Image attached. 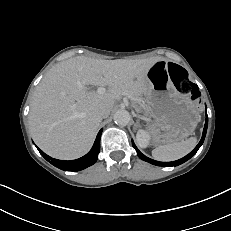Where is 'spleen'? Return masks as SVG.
<instances>
[{
    "label": "spleen",
    "instance_id": "3e777b00",
    "mask_svg": "<svg viewBox=\"0 0 231 231\" xmlns=\"http://www.w3.org/2000/svg\"><path fill=\"white\" fill-rule=\"evenodd\" d=\"M196 143V137H190L185 141L182 140L180 142L162 145L153 149L152 156L158 161H175L192 151Z\"/></svg>",
    "mask_w": 231,
    "mask_h": 231
}]
</instances>
